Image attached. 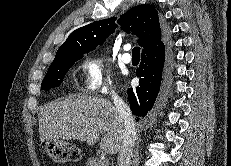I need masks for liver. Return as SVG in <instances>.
I'll list each match as a JSON object with an SVG mask.
<instances>
[{
	"mask_svg": "<svg viewBox=\"0 0 231 166\" xmlns=\"http://www.w3.org/2000/svg\"><path fill=\"white\" fill-rule=\"evenodd\" d=\"M41 142L55 139L80 140L108 154L119 152L124 123L112 103L87 95L73 96L45 105L38 113Z\"/></svg>",
	"mask_w": 231,
	"mask_h": 166,
	"instance_id": "liver-1",
	"label": "liver"
}]
</instances>
